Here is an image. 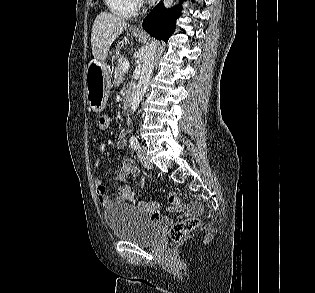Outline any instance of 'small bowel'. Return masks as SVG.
I'll return each mask as SVG.
<instances>
[{
  "label": "small bowel",
  "instance_id": "c3829d8e",
  "mask_svg": "<svg viewBox=\"0 0 315 293\" xmlns=\"http://www.w3.org/2000/svg\"><path fill=\"white\" fill-rule=\"evenodd\" d=\"M110 126V119L109 125ZM107 128V129H108ZM126 144V135L125 132H121L117 139V147L118 149H123ZM107 150V146L105 143L100 144L99 153L103 155ZM102 158L99 157L95 160V166L100 167L102 165ZM139 175V169L136 167L134 161L130 158H127L123 161L122 166L118 174L116 175V181L120 183V186L117 189V194L115 197H110L107 194L106 186L103 184L102 180L99 178L94 179L93 184L96 190V194L100 204L103 207H109L111 205L121 203V202H134L141 206L146 207L151 213L149 215L150 220L157 221H166L164 217H162L157 212L156 204H146L144 202H137L134 198L133 188H134V180ZM170 215H179V208L172 207L169 210Z\"/></svg>",
  "mask_w": 315,
  "mask_h": 293
}]
</instances>
